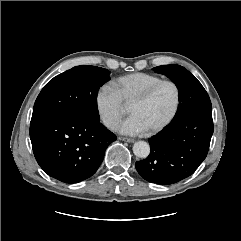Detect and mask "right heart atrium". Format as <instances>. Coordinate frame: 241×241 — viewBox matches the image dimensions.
Here are the masks:
<instances>
[{
    "label": "right heart atrium",
    "mask_w": 241,
    "mask_h": 241,
    "mask_svg": "<svg viewBox=\"0 0 241 241\" xmlns=\"http://www.w3.org/2000/svg\"><path fill=\"white\" fill-rule=\"evenodd\" d=\"M95 104L103 124L113 129L123 116L125 109L115 89L107 84L101 86L96 93Z\"/></svg>",
    "instance_id": "obj_1"
}]
</instances>
